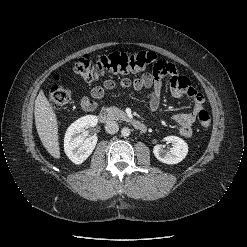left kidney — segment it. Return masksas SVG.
<instances>
[{"label":"left kidney","mask_w":247,"mask_h":247,"mask_svg":"<svg viewBox=\"0 0 247 247\" xmlns=\"http://www.w3.org/2000/svg\"><path fill=\"white\" fill-rule=\"evenodd\" d=\"M167 143H171L172 147L165 150L162 145L154 146L153 153L155 157L162 163L177 164L181 162L188 153L187 143L177 136H167L165 139Z\"/></svg>","instance_id":"left-kidney-1"}]
</instances>
